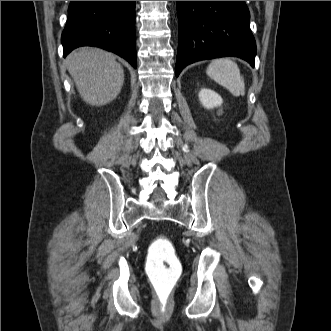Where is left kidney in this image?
<instances>
[{"mask_svg":"<svg viewBox=\"0 0 331 331\" xmlns=\"http://www.w3.org/2000/svg\"><path fill=\"white\" fill-rule=\"evenodd\" d=\"M199 100L207 109L219 107L223 102L221 96L210 89H201L199 92Z\"/></svg>","mask_w":331,"mask_h":331,"instance_id":"1","label":"left kidney"}]
</instances>
